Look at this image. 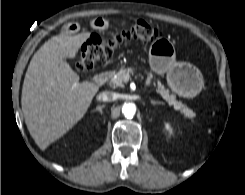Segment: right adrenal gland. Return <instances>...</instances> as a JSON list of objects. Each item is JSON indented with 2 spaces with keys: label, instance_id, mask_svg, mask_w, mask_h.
Listing matches in <instances>:
<instances>
[{
  "label": "right adrenal gland",
  "instance_id": "obj_1",
  "mask_svg": "<svg viewBox=\"0 0 245 195\" xmlns=\"http://www.w3.org/2000/svg\"><path fill=\"white\" fill-rule=\"evenodd\" d=\"M105 107V105H98L93 111H97L100 114H102V109Z\"/></svg>",
  "mask_w": 245,
  "mask_h": 195
}]
</instances>
